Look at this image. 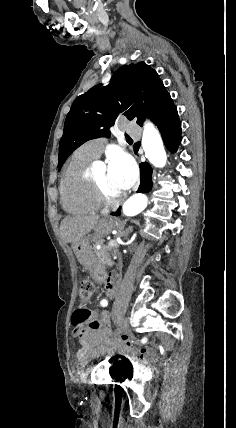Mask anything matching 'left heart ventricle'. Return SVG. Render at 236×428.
Returning a JSON list of instances; mask_svg holds the SVG:
<instances>
[{"label":"left heart ventricle","instance_id":"left-heart-ventricle-1","mask_svg":"<svg viewBox=\"0 0 236 428\" xmlns=\"http://www.w3.org/2000/svg\"><path fill=\"white\" fill-rule=\"evenodd\" d=\"M94 177L102 183V185L104 186V188L106 189V191L114 197H117L119 195H121L122 193H124L123 191H121L117 184L112 181V179L110 178L109 175V171L108 168H104L101 171L97 172Z\"/></svg>","mask_w":236,"mask_h":428}]
</instances>
